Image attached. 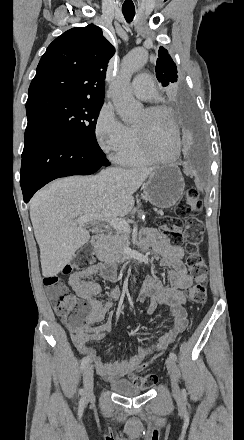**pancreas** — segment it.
<instances>
[{
	"label": "pancreas",
	"mask_w": 244,
	"mask_h": 440,
	"mask_svg": "<svg viewBox=\"0 0 244 440\" xmlns=\"http://www.w3.org/2000/svg\"><path fill=\"white\" fill-rule=\"evenodd\" d=\"M127 246H129V232L113 230L107 236H103L95 246L96 256L100 262H105V264L124 262L127 260V256L124 254V248Z\"/></svg>",
	"instance_id": "obj_1"
}]
</instances>
